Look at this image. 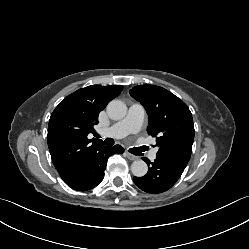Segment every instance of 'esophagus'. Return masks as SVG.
Returning <instances> with one entry per match:
<instances>
[{"mask_svg":"<svg viewBox=\"0 0 249 249\" xmlns=\"http://www.w3.org/2000/svg\"><path fill=\"white\" fill-rule=\"evenodd\" d=\"M125 154H126V156H127V158H128L129 160L134 161V160H137V159H138L137 156H135V155L129 153L128 151H126Z\"/></svg>","mask_w":249,"mask_h":249,"instance_id":"34e87169","label":"esophagus"}]
</instances>
